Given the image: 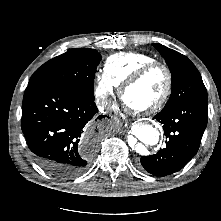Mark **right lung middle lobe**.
<instances>
[{
	"mask_svg": "<svg viewBox=\"0 0 221 221\" xmlns=\"http://www.w3.org/2000/svg\"><path fill=\"white\" fill-rule=\"evenodd\" d=\"M101 55L95 49H69L38 68L29 84L40 81L94 100L93 84Z\"/></svg>",
	"mask_w": 221,
	"mask_h": 221,
	"instance_id": "1",
	"label": "right lung middle lobe"
}]
</instances>
